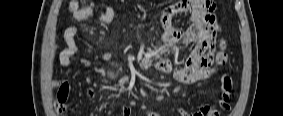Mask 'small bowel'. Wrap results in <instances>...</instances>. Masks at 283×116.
I'll return each instance as SVG.
<instances>
[{"label":"small bowel","instance_id":"c3829d8e","mask_svg":"<svg viewBox=\"0 0 283 116\" xmlns=\"http://www.w3.org/2000/svg\"><path fill=\"white\" fill-rule=\"evenodd\" d=\"M192 5V14L189 25L186 28H176L171 23V18L174 14L187 10ZM214 9L213 1L209 0H182L174 6L163 11L162 23L164 26L163 42L165 43H189L195 42V47L190 55L185 60L184 64L179 68H174L173 63L169 58H161L156 63V68L166 74H171L180 83L193 84L206 80L214 73L213 64V41L216 37L219 27L212 15ZM68 11L77 21L88 19H96L100 23H109L115 16V9L108 7L105 11H98L92 3L89 6L81 7L77 1H70ZM78 28L70 26L63 33V48L58 60L61 66L68 67L72 64L73 58L81 53V47L76 41ZM104 59H109L110 54L103 55ZM84 66H87L88 60L83 59ZM90 98L95 97V90L88 89L87 92ZM231 98V80L227 76H223L220 86V104L226 101L230 102ZM181 116H219L213 108L201 105L193 112H187L182 107L179 108ZM146 116H157L156 113L148 110H143ZM125 116L130 115L129 107L124 108Z\"/></svg>","mask_w":283,"mask_h":116}]
</instances>
